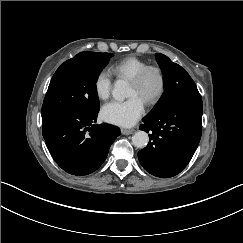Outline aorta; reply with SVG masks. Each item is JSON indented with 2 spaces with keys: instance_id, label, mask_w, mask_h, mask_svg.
Listing matches in <instances>:
<instances>
[{
  "instance_id": "aorta-1",
  "label": "aorta",
  "mask_w": 243,
  "mask_h": 243,
  "mask_svg": "<svg viewBox=\"0 0 243 243\" xmlns=\"http://www.w3.org/2000/svg\"><path fill=\"white\" fill-rule=\"evenodd\" d=\"M132 93L128 82L124 79H118L114 83L112 89V96L117 101H123ZM149 142L148 135L143 131H138L132 136V144L134 147L142 149L147 146Z\"/></svg>"
}]
</instances>
